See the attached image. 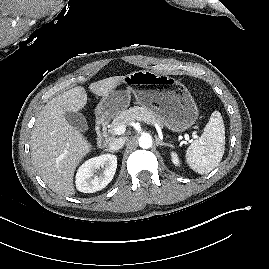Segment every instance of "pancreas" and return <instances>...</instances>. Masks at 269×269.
<instances>
[{
	"mask_svg": "<svg viewBox=\"0 0 269 269\" xmlns=\"http://www.w3.org/2000/svg\"><path fill=\"white\" fill-rule=\"evenodd\" d=\"M144 121L148 124L158 123L159 120L154 116L153 112L139 106H134L128 110L122 111L111 123L110 132L113 133V129L119 125H126L133 121Z\"/></svg>",
	"mask_w": 269,
	"mask_h": 269,
	"instance_id": "1",
	"label": "pancreas"
}]
</instances>
